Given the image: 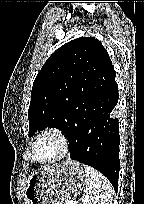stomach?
Listing matches in <instances>:
<instances>
[{
    "label": "stomach",
    "mask_w": 144,
    "mask_h": 204,
    "mask_svg": "<svg viewBox=\"0 0 144 204\" xmlns=\"http://www.w3.org/2000/svg\"><path fill=\"white\" fill-rule=\"evenodd\" d=\"M85 166L77 162L54 164L31 176L25 187V204H66L83 189Z\"/></svg>",
    "instance_id": "stomach-1"
}]
</instances>
